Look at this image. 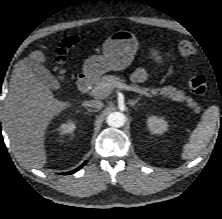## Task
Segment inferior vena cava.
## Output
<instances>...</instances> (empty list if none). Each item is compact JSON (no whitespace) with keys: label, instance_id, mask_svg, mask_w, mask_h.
<instances>
[{"label":"inferior vena cava","instance_id":"obj_1","mask_svg":"<svg viewBox=\"0 0 222 219\" xmlns=\"http://www.w3.org/2000/svg\"><path fill=\"white\" fill-rule=\"evenodd\" d=\"M83 106H89L95 109H101L103 107V103L98 100H90V101H85L83 103Z\"/></svg>","mask_w":222,"mask_h":219}]
</instances>
